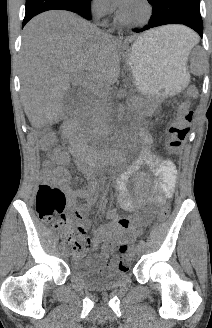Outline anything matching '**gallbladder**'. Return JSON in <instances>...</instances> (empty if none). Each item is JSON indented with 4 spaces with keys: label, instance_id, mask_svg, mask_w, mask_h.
<instances>
[{
    "label": "gallbladder",
    "instance_id": "bac80fb5",
    "mask_svg": "<svg viewBox=\"0 0 212 328\" xmlns=\"http://www.w3.org/2000/svg\"><path fill=\"white\" fill-rule=\"evenodd\" d=\"M75 97H76V93L75 90L73 89H70L65 93L63 97V106L66 111H69L73 107Z\"/></svg>",
    "mask_w": 212,
    "mask_h": 328
}]
</instances>
